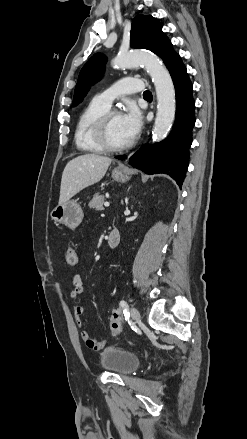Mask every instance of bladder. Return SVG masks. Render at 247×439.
<instances>
[{
    "instance_id": "bladder-1",
    "label": "bladder",
    "mask_w": 247,
    "mask_h": 439,
    "mask_svg": "<svg viewBox=\"0 0 247 439\" xmlns=\"http://www.w3.org/2000/svg\"><path fill=\"white\" fill-rule=\"evenodd\" d=\"M100 364L107 371L119 375H129L138 369L140 361L135 353L116 346H110L102 351Z\"/></svg>"
}]
</instances>
